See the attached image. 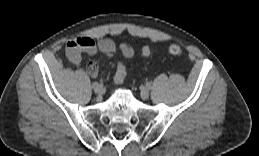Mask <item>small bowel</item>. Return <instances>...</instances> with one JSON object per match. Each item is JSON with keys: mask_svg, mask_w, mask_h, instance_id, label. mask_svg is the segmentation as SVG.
Here are the masks:
<instances>
[{"mask_svg": "<svg viewBox=\"0 0 259 156\" xmlns=\"http://www.w3.org/2000/svg\"><path fill=\"white\" fill-rule=\"evenodd\" d=\"M116 50V44L109 38L94 40L90 37H77L68 41L66 45V55L73 64L80 63L82 53H87L93 56L101 52L107 57H112ZM120 50L126 58H131L133 56V50L127 44H121ZM98 71L99 69L96 63L90 62L87 65V72L92 77L97 76Z\"/></svg>", "mask_w": 259, "mask_h": 156, "instance_id": "c3829d8e", "label": "small bowel"}]
</instances>
